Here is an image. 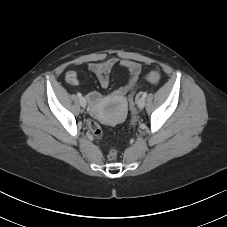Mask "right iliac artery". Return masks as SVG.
I'll use <instances>...</instances> for the list:
<instances>
[{
	"instance_id": "right-iliac-artery-1",
	"label": "right iliac artery",
	"mask_w": 227,
	"mask_h": 227,
	"mask_svg": "<svg viewBox=\"0 0 227 227\" xmlns=\"http://www.w3.org/2000/svg\"><path fill=\"white\" fill-rule=\"evenodd\" d=\"M77 96L79 97V98H81L82 97V94L81 93H77Z\"/></svg>"
}]
</instances>
